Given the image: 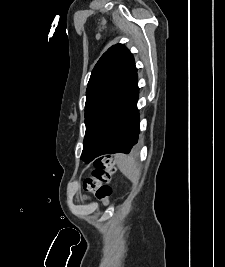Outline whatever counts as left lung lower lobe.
Listing matches in <instances>:
<instances>
[{"instance_id": "0a47b994", "label": "left lung lower lobe", "mask_w": 225, "mask_h": 267, "mask_svg": "<svg viewBox=\"0 0 225 267\" xmlns=\"http://www.w3.org/2000/svg\"><path fill=\"white\" fill-rule=\"evenodd\" d=\"M137 78L136 72L122 98L111 132L98 156L130 153L137 145L140 133Z\"/></svg>"}]
</instances>
